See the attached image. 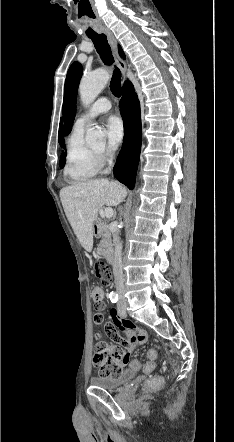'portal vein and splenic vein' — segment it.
Masks as SVG:
<instances>
[{
	"instance_id": "obj_1",
	"label": "portal vein and splenic vein",
	"mask_w": 234,
	"mask_h": 442,
	"mask_svg": "<svg viewBox=\"0 0 234 442\" xmlns=\"http://www.w3.org/2000/svg\"><path fill=\"white\" fill-rule=\"evenodd\" d=\"M113 214H114V211H113L112 208H106V209L104 210V216H105L106 218H111V217L113 216Z\"/></svg>"
}]
</instances>
